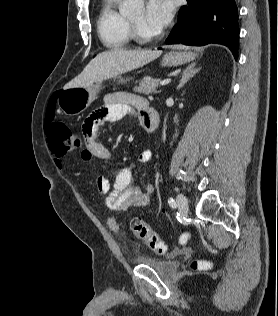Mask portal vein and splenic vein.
<instances>
[{"label":"portal vein and splenic vein","mask_w":278,"mask_h":316,"mask_svg":"<svg viewBox=\"0 0 278 316\" xmlns=\"http://www.w3.org/2000/svg\"><path fill=\"white\" fill-rule=\"evenodd\" d=\"M171 82V79H166L160 82V85L165 86L168 85Z\"/></svg>","instance_id":"1"}]
</instances>
